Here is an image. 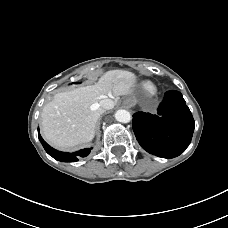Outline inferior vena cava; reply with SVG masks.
<instances>
[{
  "label": "inferior vena cava",
  "mask_w": 228,
  "mask_h": 228,
  "mask_svg": "<svg viewBox=\"0 0 228 228\" xmlns=\"http://www.w3.org/2000/svg\"><path fill=\"white\" fill-rule=\"evenodd\" d=\"M113 101L109 98L102 99L99 102V106L103 109H110L112 107Z\"/></svg>",
  "instance_id": "obj_1"
}]
</instances>
